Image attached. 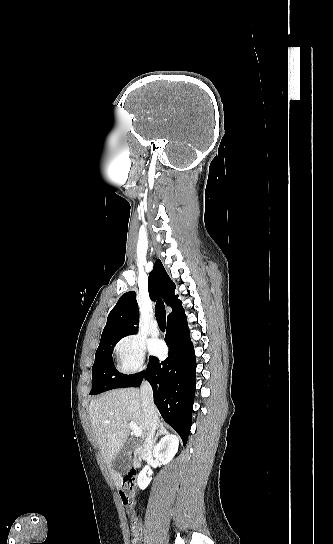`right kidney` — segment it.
Instances as JSON below:
<instances>
[{
	"label": "right kidney",
	"mask_w": 333,
	"mask_h": 544,
	"mask_svg": "<svg viewBox=\"0 0 333 544\" xmlns=\"http://www.w3.org/2000/svg\"><path fill=\"white\" fill-rule=\"evenodd\" d=\"M179 440L175 435L166 434L153 450V456L162 464L167 465L178 451ZM149 467L145 466L138 475V486L144 490L151 482L152 478L148 471Z\"/></svg>",
	"instance_id": "obj_1"
}]
</instances>
